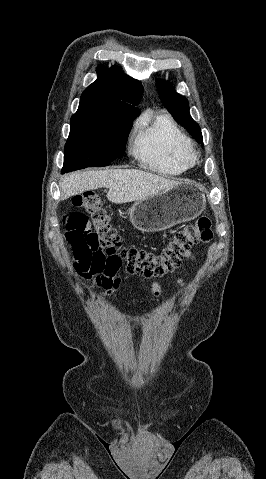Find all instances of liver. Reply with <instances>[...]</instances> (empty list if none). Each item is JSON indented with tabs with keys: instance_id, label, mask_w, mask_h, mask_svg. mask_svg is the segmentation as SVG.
Returning <instances> with one entry per match:
<instances>
[{
	"instance_id": "liver-1",
	"label": "liver",
	"mask_w": 266,
	"mask_h": 479,
	"mask_svg": "<svg viewBox=\"0 0 266 479\" xmlns=\"http://www.w3.org/2000/svg\"><path fill=\"white\" fill-rule=\"evenodd\" d=\"M180 182L136 169H107L66 175L60 181L61 200L98 188H109L107 198L121 204L139 201L172 189Z\"/></svg>"
}]
</instances>
